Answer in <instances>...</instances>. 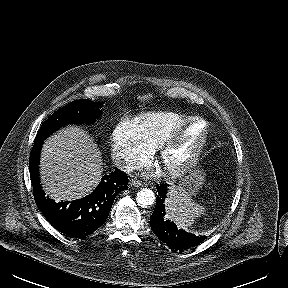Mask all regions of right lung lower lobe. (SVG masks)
Returning a JSON list of instances; mask_svg holds the SVG:
<instances>
[{
	"label": "right lung lower lobe",
	"instance_id": "right-lung-lower-lobe-1",
	"mask_svg": "<svg viewBox=\"0 0 288 288\" xmlns=\"http://www.w3.org/2000/svg\"><path fill=\"white\" fill-rule=\"evenodd\" d=\"M43 141L34 143L30 154V178L38 208L58 231L75 238H83L103 225L118 193L127 189L128 176L119 170L104 175L89 195L71 202L56 203L45 197L39 178V157Z\"/></svg>",
	"mask_w": 288,
	"mask_h": 288
}]
</instances>
